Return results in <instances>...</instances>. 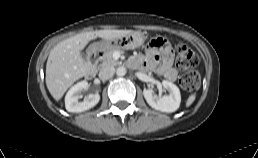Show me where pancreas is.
<instances>
[{
    "mask_svg": "<svg viewBox=\"0 0 258 158\" xmlns=\"http://www.w3.org/2000/svg\"><path fill=\"white\" fill-rule=\"evenodd\" d=\"M118 48H113L110 50H107L103 56L101 57L102 60V66H117L119 62L113 58V53L115 51H119Z\"/></svg>",
    "mask_w": 258,
    "mask_h": 158,
    "instance_id": "pancreas-1",
    "label": "pancreas"
}]
</instances>
